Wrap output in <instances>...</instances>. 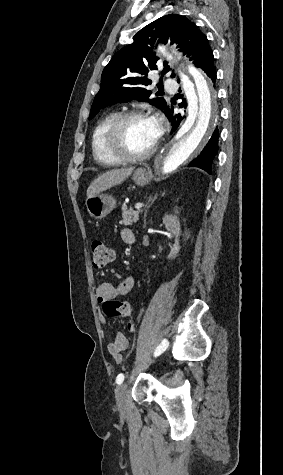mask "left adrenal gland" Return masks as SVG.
Wrapping results in <instances>:
<instances>
[{
  "label": "left adrenal gland",
  "instance_id": "left-adrenal-gland-1",
  "mask_svg": "<svg viewBox=\"0 0 283 475\" xmlns=\"http://www.w3.org/2000/svg\"><path fill=\"white\" fill-rule=\"evenodd\" d=\"M155 200H157V194H156V196H154V198H149V200H148L149 206H147V208H151V206H152L153 202H155ZM146 214H147V210H145V212H144V226H143V228H146Z\"/></svg>",
  "mask_w": 283,
  "mask_h": 475
}]
</instances>
